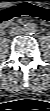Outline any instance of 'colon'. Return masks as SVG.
Segmentation results:
<instances>
[{"instance_id": "obj_1", "label": "colon", "mask_w": 50, "mask_h": 111, "mask_svg": "<svg viewBox=\"0 0 50 111\" xmlns=\"http://www.w3.org/2000/svg\"><path fill=\"white\" fill-rule=\"evenodd\" d=\"M20 17H34L43 21H50V10L33 3H22L4 9L0 15V23L6 24Z\"/></svg>"}]
</instances>
